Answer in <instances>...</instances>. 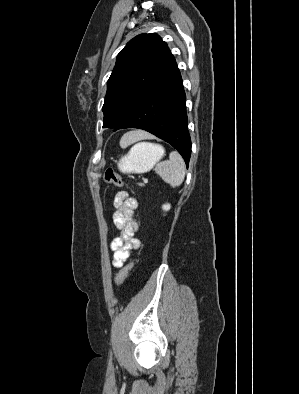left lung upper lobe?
<instances>
[{"label":"left lung upper lobe","mask_w":299,"mask_h":394,"mask_svg":"<svg viewBox=\"0 0 299 394\" xmlns=\"http://www.w3.org/2000/svg\"><path fill=\"white\" fill-rule=\"evenodd\" d=\"M175 62L167 44L155 33L130 40L117 56L107 82L103 127L114 128L150 84Z\"/></svg>","instance_id":"obj_1"}]
</instances>
